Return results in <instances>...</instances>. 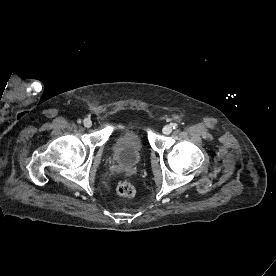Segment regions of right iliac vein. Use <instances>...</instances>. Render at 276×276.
<instances>
[{
	"label": "right iliac vein",
	"instance_id": "63e3f726",
	"mask_svg": "<svg viewBox=\"0 0 276 276\" xmlns=\"http://www.w3.org/2000/svg\"><path fill=\"white\" fill-rule=\"evenodd\" d=\"M83 125L87 128L91 127L92 126V121L89 119V118H85L83 120Z\"/></svg>",
	"mask_w": 276,
	"mask_h": 276
}]
</instances>
